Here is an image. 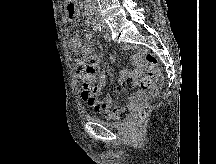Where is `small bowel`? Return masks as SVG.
Segmentation results:
<instances>
[{
	"label": "small bowel",
	"instance_id": "small-bowel-1",
	"mask_svg": "<svg viewBox=\"0 0 216 164\" xmlns=\"http://www.w3.org/2000/svg\"><path fill=\"white\" fill-rule=\"evenodd\" d=\"M84 41L79 35H74L69 46L79 57L75 60V68L77 76L82 81L81 97L83 101L95 112L102 113L106 118L111 120L124 119L130 109H132L140 99V95L136 94L130 97L129 103L125 106L112 105L111 98H107L104 102H100L97 96L100 95L106 87L105 75L100 76L99 85L94 86L96 79L95 74L98 71L100 64V56L94 52L92 48L93 35L89 30L83 32ZM86 59H89V67L91 71L81 70V65L85 64ZM132 62L135 69L132 71L124 70L119 74V82L122 84L127 79L138 81L143 73L142 53L139 51L133 55Z\"/></svg>",
	"mask_w": 216,
	"mask_h": 164
}]
</instances>
